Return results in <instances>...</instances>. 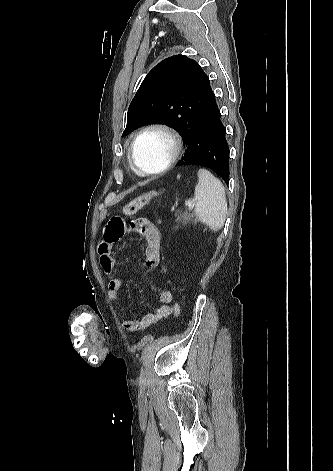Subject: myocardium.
<instances>
[{
  "mask_svg": "<svg viewBox=\"0 0 333 471\" xmlns=\"http://www.w3.org/2000/svg\"><path fill=\"white\" fill-rule=\"evenodd\" d=\"M151 131H160V132L166 134L169 137V139L172 143V152H171L170 157L166 161V163L161 168H159L157 170H153V171L145 170L142 167H140L137 164V162L135 160V157H134V150H135V146H136L138 140L144 134H146L148 132H151ZM181 150H182V139H181L180 135L178 134V132L174 128H172L171 126H169L167 124L155 122V123H150V124L142 127L134 135V137L131 140L130 146H129L128 159H129L130 165L132 166V168L136 172H138L139 174L144 175V176H153V175H158V174H161V173H164L165 171H167L177 161V159H178V157L181 153Z\"/></svg>",
  "mask_w": 333,
  "mask_h": 471,
  "instance_id": "1",
  "label": "myocardium"
}]
</instances>
